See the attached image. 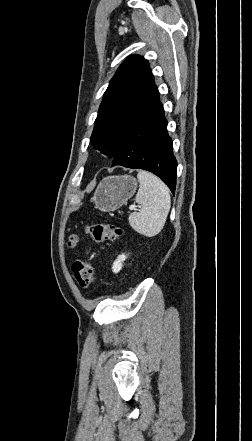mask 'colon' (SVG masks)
Wrapping results in <instances>:
<instances>
[{
	"instance_id": "obj_1",
	"label": "colon",
	"mask_w": 252,
	"mask_h": 441,
	"mask_svg": "<svg viewBox=\"0 0 252 441\" xmlns=\"http://www.w3.org/2000/svg\"><path fill=\"white\" fill-rule=\"evenodd\" d=\"M85 231L96 242L116 240L123 234L120 227L102 222L87 225ZM76 242V236H71L68 244L73 247ZM72 270L75 280L81 288H88L94 282V266L91 261L79 259L74 262Z\"/></svg>"
}]
</instances>
